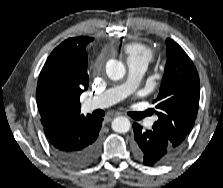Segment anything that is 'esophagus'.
<instances>
[{
	"mask_svg": "<svg viewBox=\"0 0 223 188\" xmlns=\"http://www.w3.org/2000/svg\"><path fill=\"white\" fill-rule=\"evenodd\" d=\"M116 115H119V114H116ZM112 118H113V117H108V118L106 119V121L109 122V121L112 120Z\"/></svg>",
	"mask_w": 223,
	"mask_h": 188,
	"instance_id": "34e87169",
	"label": "esophagus"
}]
</instances>
